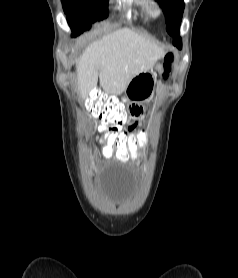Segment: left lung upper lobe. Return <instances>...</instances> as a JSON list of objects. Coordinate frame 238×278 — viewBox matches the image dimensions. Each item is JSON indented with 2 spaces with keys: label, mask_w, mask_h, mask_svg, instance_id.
Instances as JSON below:
<instances>
[{
  "label": "left lung upper lobe",
  "mask_w": 238,
  "mask_h": 278,
  "mask_svg": "<svg viewBox=\"0 0 238 278\" xmlns=\"http://www.w3.org/2000/svg\"><path fill=\"white\" fill-rule=\"evenodd\" d=\"M162 3L166 18V30L170 35H174L180 28V23L184 11L183 0H157Z\"/></svg>",
  "instance_id": "1"
}]
</instances>
